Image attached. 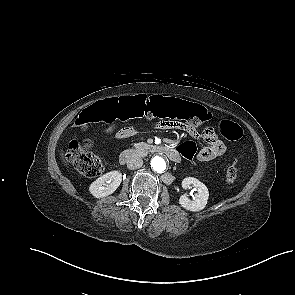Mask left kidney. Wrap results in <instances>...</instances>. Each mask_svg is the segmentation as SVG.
<instances>
[{
	"mask_svg": "<svg viewBox=\"0 0 295 295\" xmlns=\"http://www.w3.org/2000/svg\"><path fill=\"white\" fill-rule=\"evenodd\" d=\"M182 187L184 189H190L194 187L197 190V193L194 195L192 200L189 199L185 194L182 195L179 199V204L184 209L192 212L203 210L209 197V191L206 185L194 177H187L183 179Z\"/></svg>",
	"mask_w": 295,
	"mask_h": 295,
	"instance_id": "obj_1",
	"label": "left kidney"
}]
</instances>
